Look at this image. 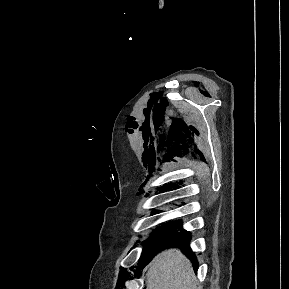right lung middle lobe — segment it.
<instances>
[{
	"instance_id": "1",
	"label": "right lung middle lobe",
	"mask_w": 289,
	"mask_h": 289,
	"mask_svg": "<svg viewBox=\"0 0 289 289\" xmlns=\"http://www.w3.org/2000/svg\"><path fill=\"white\" fill-rule=\"evenodd\" d=\"M176 226H181V221L179 220L178 222H171L169 224H166L160 228H157L156 230H154L152 232V237L155 236H172L174 234H178L177 230H176Z\"/></svg>"
}]
</instances>
